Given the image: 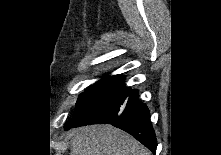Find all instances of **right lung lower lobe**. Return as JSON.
I'll return each instance as SVG.
<instances>
[{
  "instance_id": "1",
  "label": "right lung lower lobe",
  "mask_w": 221,
  "mask_h": 155,
  "mask_svg": "<svg viewBox=\"0 0 221 155\" xmlns=\"http://www.w3.org/2000/svg\"><path fill=\"white\" fill-rule=\"evenodd\" d=\"M109 123L134 136L153 153L157 141L150 121L149 110L138 101V92L124 85L123 77H110L106 89L92 112L76 125Z\"/></svg>"
}]
</instances>
